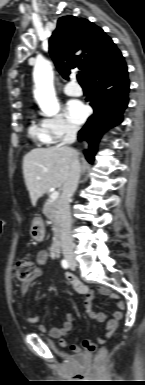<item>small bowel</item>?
<instances>
[{"mask_svg": "<svg viewBox=\"0 0 145 385\" xmlns=\"http://www.w3.org/2000/svg\"><path fill=\"white\" fill-rule=\"evenodd\" d=\"M49 256H50L49 252L46 250H41L37 253V256H36L37 267L34 270L31 280L28 283L21 284L19 287L20 295L22 297L25 296L26 293L28 292L31 282L42 275V267L47 264L49 260ZM65 278L77 293L82 294L86 297V300L84 303L86 314L91 319H94L96 321H99V322L107 321V327L104 331V334L99 338V343L101 344L105 343L111 337L113 331L116 329V327L118 326L123 316L122 311L125 308V304L123 300L120 298V296L117 293L112 292L109 288L107 287L99 288V293L101 295L115 300L117 310L113 313L112 317L109 318L107 313L96 312L92 310L91 301L94 297L93 290H91L87 285L80 282L79 279L72 273H66ZM74 319H75V315L73 313H68L66 315V320L61 328H52L45 324H39V330L42 333L47 334L52 338L59 339L60 345L62 347H67L68 341L64 338V336L71 331L73 327ZM26 320L34 324L39 323V317L35 315H27ZM90 344L94 345L90 341L84 342L85 347ZM71 349L77 353L81 351V348L78 345H72Z\"/></svg>", "mask_w": 145, "mask_h": 385, "instance_id": "small-bowel-1", "label": "small bowel"}]
</instances>
